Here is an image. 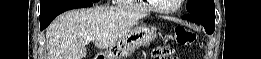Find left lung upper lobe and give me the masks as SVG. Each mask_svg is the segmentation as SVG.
Returning <instances> with one entry per match:
<instances>
[{
  "label": "left lung upper lobe",
  "mask_w": 261,
  "mask_h": 59,
  "mask_svg": "<svg viewBox=\"0 0 261 59\" xmlns=\"http://www.w3.org/2000/svg\"><path fill=\"white\" fill-rule=\"evenodd\" d=\"M187 11L190 14H200L215 18L214 0H188Z\"/></svg>",
  "instance_id": "5c2ea615"
}]
</instances>
